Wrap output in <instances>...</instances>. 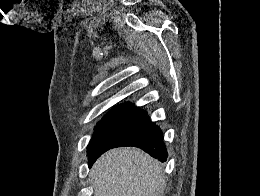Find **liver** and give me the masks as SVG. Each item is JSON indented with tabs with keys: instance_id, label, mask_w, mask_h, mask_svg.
I'll list each match as a JSON object with an SVG mask.
<instances>
[{
	"instance_id": "6515ba94",
	"label": "liver",
	"mask_w": 260,
	"mask_h": 196,
	"mask_svg": "<svg viewBox=\"0 0 260 196\" xmlns=\"http://www.w3.org/2000/svg\"><path fill=\"white\" fill-rule=\"evenodd\" d=\"M94 196H163L160 162L139 148H114L91 168Z\"/></svg>"
}]
</instances>
